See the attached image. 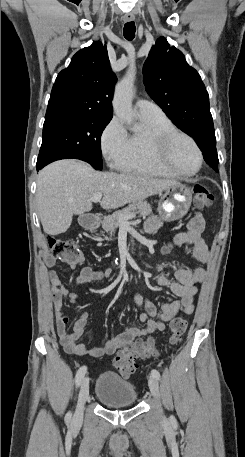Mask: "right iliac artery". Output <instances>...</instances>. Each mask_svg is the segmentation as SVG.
I'll return each instance as SVG.
<instances>
[{
  "mask_svg": "<svg viewBox=\"0 0 245 457\" xmlns=\"http://www.w3.org/2000/svg\"><path fill=\"white\" fill-rule=\"evenodd\" d=\"M87 372V367L86 366H82L76 373V376H75V383H76V386H79L85 376V373ZM67 420H70L71 418V414L68 413L67 416H66Z\"/></svg>",
  "mask_w": 245,
  "mask_h": 457,
  "instance_id": "82829eb1",
  "label": "right iliac artery"
}]
</instances>
